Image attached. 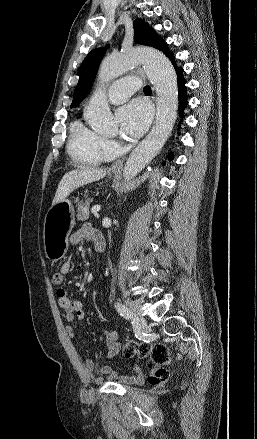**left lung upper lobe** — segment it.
Segmentation results:
<instances>
[{
	"label": "left lung upper lobe",
	"mask_w": 257,
	"mask_h": 439,
	"mask_svg": "<svg viewBox=\"0 0 257 439\" xmlns=\"http://www.w3.org/2000/svg\"><path fill=\"white\" fill-rule=\"evenodd\" d=\"M133 25L135 43L152 46L161 51L167 48V44L155 34V31L144 19H136ZM104 54V48L95 49L82 62L79 70V82L74 90L71 108L77 106L89 93Z\"/></svg>",
	"instance_id": "1"
}]
</instances>
